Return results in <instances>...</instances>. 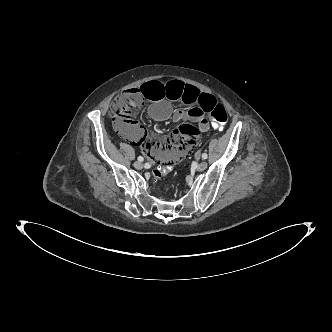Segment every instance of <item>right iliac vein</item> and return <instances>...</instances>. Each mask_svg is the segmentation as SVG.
Instances as JSON below:
<instances>
[{
	"instance_id": "right-iliac-vein-1",
	"label": "right iliac vein",
	"mask_w": 332,
	"mask_h": 332,
	"mask_svg": "<svg viewBox=\"0 0 332 332\" xmlns=\"http://www.w3.org/2000/svg\"><path fill=\"white\" fill-rule=\"evenodd\" d=\"M134 167L138 170L143 168V164L140 161L134 162Z\"/></svg>"
}]
</instances>
